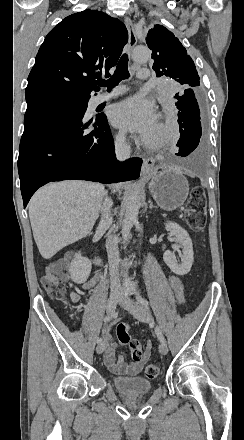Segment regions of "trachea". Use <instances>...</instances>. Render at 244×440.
Listing matches in <instances>:
<instances>
[{"label": "trachea", "mask_w": 244, "mask_h": 440, "mask_svg": "<svg viewBox=\"0 0 244 440\" xmlns=\"http://www.w3.org/2000/svg\"><path fill=\"white\" fill-rule=\"evenodd\" d=\"M128 77H129L128 57L127 55H123L118 62L114 75L108 80H97L96 83L100 87L106 86L107 90L110 91L112 88L118 85L119 82H121V80H124L125 78Z\"/></svg>", "instance_id": "3493384b"}]
</instances>
